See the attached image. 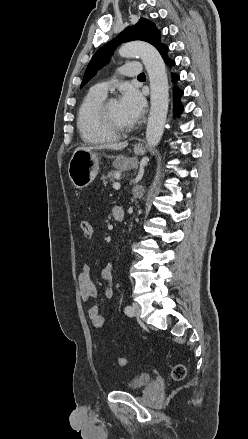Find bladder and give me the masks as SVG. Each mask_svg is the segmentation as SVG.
Segmentation results:
<instances>
[{"label":"bladder","instance_id":"31cf9c89","mask_svg":"<svg viewBox=\"0 0 248 439\" xmlns=\"http://www.w3.org/2000/svg\"><path fill=\"white\" fill-rule=\"evenodd\" d=\"M152 381V375L150 373H139L131 381H129L125 389L126 390H138L150 384Z\"/></svg>","mask_w":248,"mask_h":439}]
</instances>
